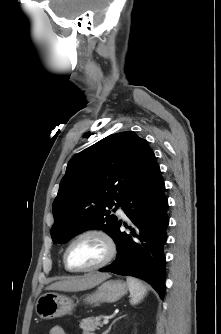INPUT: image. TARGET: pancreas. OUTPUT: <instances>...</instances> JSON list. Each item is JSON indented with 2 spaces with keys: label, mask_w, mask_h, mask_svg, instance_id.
<instances>
[{
  "label": "pancreas",
  "mask_w": 221,
  "mask_h": 334,
  "mask_svg": "<svg viewBox=\"0 0 221 334\" xmlns=\"http://www.w3.org/2000/svg\"><path fill=\"white\" fill-rule=\"evenodd\" d=\"M101 317H88L85 319H82L80 322V328L84 331H95L96 329H99V327L102 326Z\"/></svg>",
  "instance_id": "cf45deb5"
}]
</instances>
